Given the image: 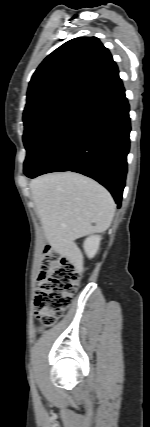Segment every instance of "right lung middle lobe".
Listing matches in <instances>:
<instances>
[{
	"instance_id": "dd1d6c3e",
	"label": "right lung middle lobe",
	"mask_w": 150,
	"mask_h": 427,
	"mask_svg": "<svg viewBox=\"0 0 150 427\" xmlns=\"http://www.w3.org/2000/svg\"><path fill=\"white\" fill-rule=\"evenodd\" d=\"M80 107L54 104L35 109L23 116V141L27 151L24 173L29 176Z\"/></svg>"
}]
</instances>
